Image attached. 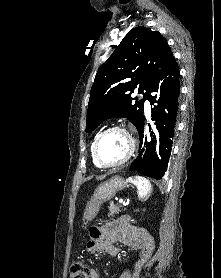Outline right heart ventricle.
<instances>
[{
    "label": "right heart ventricle",
    "mask_w": 221,
    "mask_h": 278,
    "mask_svg": "<svg viewBox=\"0 0 221 278\" xmlns=\"http://www.w3.org/2000/svg\"><path fill=\"white\" fill-rule=\"evenodd\" d=\"M92 146H93V143L91 144V156H92V160H93V163H94L96 166H98V165L95 163L94 159H93V155H92Z\"/></svg>",
    "instance_id": "right-heart-ventricle-1"
}]
</instances>
